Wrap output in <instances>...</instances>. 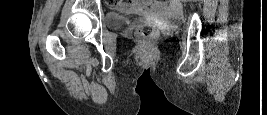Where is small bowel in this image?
<instances>
[{"mask_svg":"<svg viewBox=\"0 0 267 115\" xmlns=\"http://www.w3.org/2000/svg\"><path fill=\"white\" fill-rule=\"evenodd\" d=\"M111 5L118 12L143 16L158 14L167 10V5L165 3L148 0L141 2L133 1L130 3L113 1ZM169 8L173 11H178L180 9V4L178 1H172Z\"/></svg>","mask_w":267,"mask_h":115,"instance_id":"obj_1","label":"small bowel"}]
</instances>
